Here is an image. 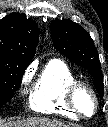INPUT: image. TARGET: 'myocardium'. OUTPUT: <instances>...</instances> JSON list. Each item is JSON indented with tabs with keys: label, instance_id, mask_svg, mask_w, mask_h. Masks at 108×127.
Here are the masks:
<instances>
[{
	"label": "myocardium",
	"instance_id": "f54148a6",
	"mask_svg": "<svg viewBox=\"0 0 108 127\" xmlns=\"http://www.w3.org/2000/svg\"><path fill=\"white\" fill-rule=\"evenodd\" d=\"M80 92H87L93 101V110L91 113L87 114L83 112L77 103V97ZM66 100L69 108L79 117L90 118L92 117L98 109V97L93 88L87 83L79 80H75L67 89Z\"/></svg>",
	"mask_w": 108,
	"mask_h": 127
}]
</instances>
